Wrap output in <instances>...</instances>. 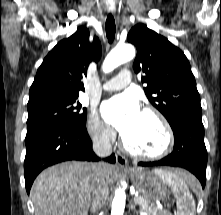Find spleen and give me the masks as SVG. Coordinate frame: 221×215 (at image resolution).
Here are the masks:
<instances>
[{
  "label": "spleen",
  "instance_id": "spleen-1",
  "mask_svg": "<svg viewBox=\"0 0 221 215\" xmlns=\"http://www.w3.org/2000/svg\"><path fill=\"white\" fill-rule=\"evenodd\" d=\"M171 188L176 201L179 215H195L196 205L189 188L194 189L197 186L196 179L190 173L185 171L164 172L156 170Z\"/></svg>",
  "mask_w": 221,
  "mask_h": 215
}]
</instances>
